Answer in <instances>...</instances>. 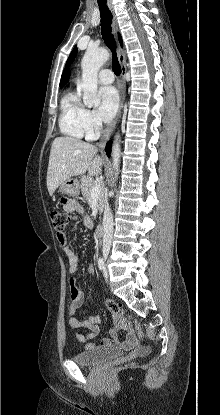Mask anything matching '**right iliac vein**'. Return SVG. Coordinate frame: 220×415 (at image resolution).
Here are the masks:
<instances>
[{
  "instance_id": "63e3f726",
  "label": "right iliac vein",
  "mask_w": 220,
  "mask_h": 415,
  "mask_svg": "<svg viewBox=\"0 0 220 415\" xmlns=\"http://www.w3.org/2000/svg\"><path fill=\"white\" fill-rule=\"evenodd\" d=\"M103 255H104V258L106 259L108 257V252H104Z\"/></svg>"
}]
</instances>
